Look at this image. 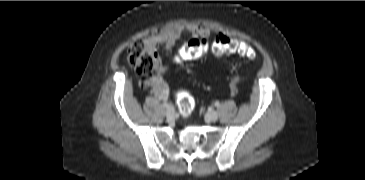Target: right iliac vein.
<instances>
[{
    "mask_svg": "<svg viewBox=\"0 0 365 180\" xmlns=\"http://www.w3.org/2000/svg\"><path fill=\"white\" fill-rule=\"evenodd\" d=\"M175 113V110L173 108V106L169 105L168 107H166V114L168 117H172Z\"/></svg>",
    "mask_w": 365,
    "mask_h": 180,
    "instance_id": "right-iliac-vein-1",
    "label": "right iliac vein"
}]
</instances>
